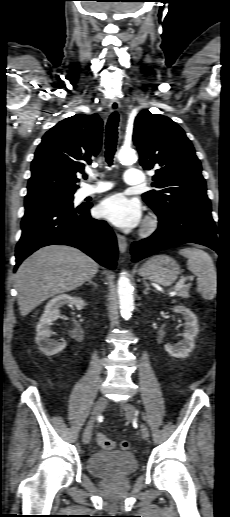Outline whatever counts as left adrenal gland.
<instances>
[{
  "mask_svg": "<svg viewBox=\"0 0 230 517\" xmlns=\"http://www.w3.org/2000/svg\"><path fill=\"white\" fill-rule=\"evenodd\" d=\"M144 285H145V287H146V288H145V290L143 291V293L146 295V294H148V292H149L150 290H152V289H150L149 284H148L147 282H144Z\"/></svg>",
  "mask_w": 230,
  "mask_h": 517,
  "instance_id": "a2214340",
  "label": "left adrenal gland"
}]
</instances>
